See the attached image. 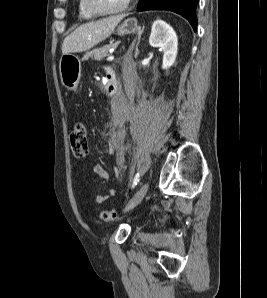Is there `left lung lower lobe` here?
<instances>
[{"instance_id": "left-lung-lower-lobe-1", "label": "left lung lower lobe", "mask_w": 267, "mask_h": 298, "mask_svg": "<svg viewBox=\"0 0 267 298\" xmlns=\"http://www.w3.org/2000/svg\"><path fill=\"white\" fill-rule=\"evenodd\" d=\"M198 0H139L138 11L169 10L185 17L196 31V6Z\"/></svg>"}]
</instances>
